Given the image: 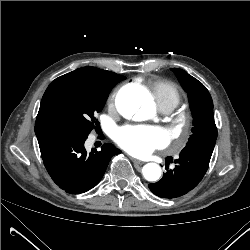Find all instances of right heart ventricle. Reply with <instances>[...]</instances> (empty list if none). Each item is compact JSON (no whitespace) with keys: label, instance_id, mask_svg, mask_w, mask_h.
<instances>
[{"label":"right heart ventricle","instance_id":"e07e8e85","mask_svg":"<svg viewBox=\"0 0 250 250\" xmlns=\"http://www.w3.org/2000/svg\"><path fill=\"white\" fill-rule=\"evenodd\" d=\"M152 95L160 110L171 111L180 103L181 94L176 84L171 81L161 80L152 85Z\"/></svg>","mask_w":250,"mask_h":250}]
</instances>
